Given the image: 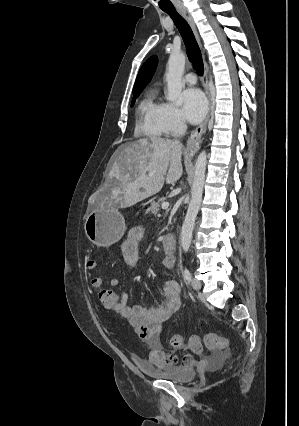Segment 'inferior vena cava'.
Segmentation results:
<instances>
[{"instance_id": "602c4592", "label": "inferior vena cava", "mask_w": 299, "mask_h": 426, "mask_svg": "<svg viewBox=\"0 0 299 426\" xmlns=\"http://www.w3.org/2000/svg\"><path fill=\"white\" fill-rule=\"evenodd\" d=\"M175 142H176V143H179V140H176Z\"/></svg>"}]
</instances>
